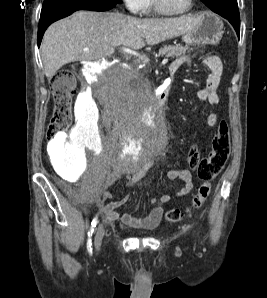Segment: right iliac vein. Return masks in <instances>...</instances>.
<instances>
[{"label": "right iliac vein", "mask_w": 267, "mask_h": 298, "mask_svg": "<svg viewBox=\"0 0 267 298\" xmlns=\"http://www.w3.org/2000/svg\"><path fill=\"white\" fill-rule=\"evenodd\" d=\"M104 233H105L104 227H103L102 224H100L98 226V228L96 229L95 238H94V245H95V249L97 251L100 250L102 240H103V237H104Z\"/></svg>", "instance_id": "63e3f726"}]
</instances>
